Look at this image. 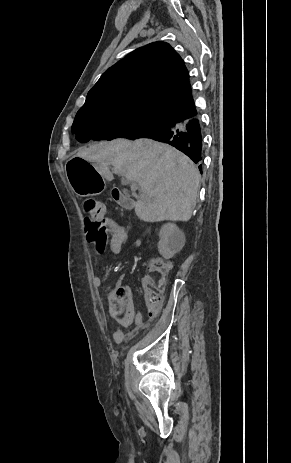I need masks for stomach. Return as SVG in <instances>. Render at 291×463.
<instances>
[{
  "mask_svg": "<svg viewBox=\"0 0 291 463\" xmlns=\"http://www.w3.org/2000/svg\"><path fill=\"white\" fill-rule=\"evenodd\" d=\"M65 169L68 182L77 195H97L103 190V179L88 162V157H67Z\"/></svg>",
  "mask_w": 291,
  "mask_h": 463,
  "instance_id": "stomach-1",
  "label": "stomach"
}]
</instances>
